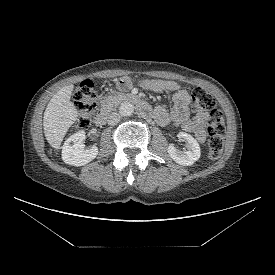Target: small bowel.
<instances>
[{
    "mask_svg": "<svg viewBox=\"0 0 275 275\" xmlns=\"http://www.w3.org/2000/svg\"><path fill=\"white\" fill-rule=\"evenodd\" d=\"M134 80L130 77H122L117 81L120 90L132 87ZM140 85L154 92H173V107L168 112L162 105L154 108L153 116L160 125H167L172 122L177 127H182L186 132L193 133L199 142L205 140V125L208 120V113L198 112L194 117H190L188 92L174 81L166 80H143Z\"/></svg>",
    "mask_w": 275,
    "mask_h": 275,
    "instance_id": "obj_1",
    "label": "small bowel"
}]
</instances>
